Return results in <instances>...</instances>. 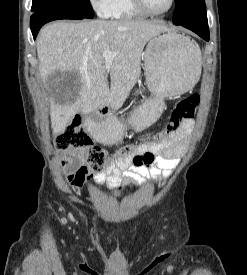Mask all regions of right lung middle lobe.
<instances>
[{
  "label": "right lung middle lobe",
  "instance_id": "right-lung-middle-lobe-1",
  "mask_svg": "<svg viewBox=\"0 0 247 275\" xmlns=\"http://www.w3.org/2000/svg\"><path fill=\"white\" fill-rule=\"evenodd\" d=\"M31 11H60L86 18L94 16L89 0H33Z\"/></svg>",
  "mask_w": 247,
  "mask_h": 275
}]
</instances>
